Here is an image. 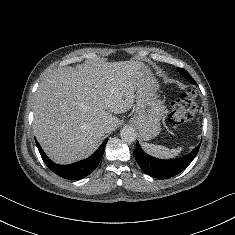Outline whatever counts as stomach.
I'll use <instances>...</instances> for the list:
<instances>
[{
	"mask_svg": "<svg viewBox=\"0 0 235 235\" xmlns=\"http://www.w3.org/2000/svg\"><path fill=\"white\" fill-rule=\"evenodd\" d=\"M158 88L157 80L144 65L136 78L135 114L130 121L145 141L160 133V121L166 113L163 102L157 98Z\"/></svg>",
	"mask_w": 235,
	"mask_h": 235,
	"instance_id": "1",
	"label": "stomach"
}]
</instances>
